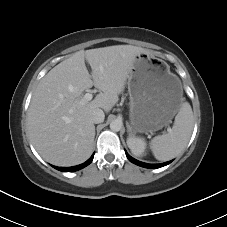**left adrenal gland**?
Masks as SVG:
<instances>
[{"instance_id":"1","label":"left adrenal gland","mask_w":227,"mask_h":227,"mask_svg":"<svg viewBox=\"0 0 227 227\" xmlns=\"http://www.w3.org/2000/svg\"><path fill=\"white\" fill-rule=\"evenodd\" d=\"M126 126H127V132L130 134V132H131V128H130V125H129V123H128V122H126Z\"/></svg>"}]
</instances>
